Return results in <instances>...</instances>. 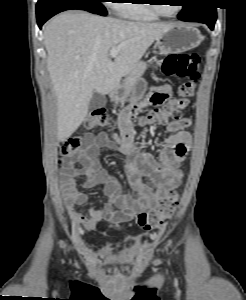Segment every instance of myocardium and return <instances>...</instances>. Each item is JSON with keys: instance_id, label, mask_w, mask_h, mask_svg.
<instances>
[{"instance_id": "myocardium-1", "label": "myocardium", "mask_w": 246, "mask_h": 300, "mask_svg": "<svg viewBox=\"0 0 246 300\" xmlns=\"http://www.w3.org/2000/svg\"><path fill=\"white\" fill-rule=\"evenodd\" d=\"M148 1L150 2L152 10L158 16H161V17H164V18L176 17L177 15L180 14V12L183 9V6H179L178 9H177V11H175V13H173V14H166L164 11H162L161 6L157 3L158 2L157 0H148Z\"/></svg>"}]
</instances>
